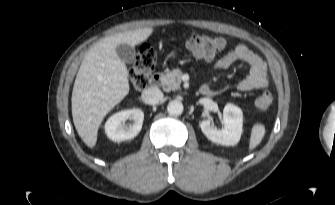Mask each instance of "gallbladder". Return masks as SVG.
Returning a JSON list of instances; mask_svg holds the SVG:
<instances>
[{
    "instance_id": "1",
    "label": "gallbladder",
    "mask_w": 335,
    "mask_h": 205,
    "mask_svg": "<svg viewBox=\"0 0 335 205\" xmlns=\"http://www.w3.org/2000/svg\"><path fill=\"white\" fill-rule=\"evenodd\" d=\"M116 52L119 58L126 64H132L135 61V48L129 44H119L116 46Z\"/></svg>"
}]
</instances>
